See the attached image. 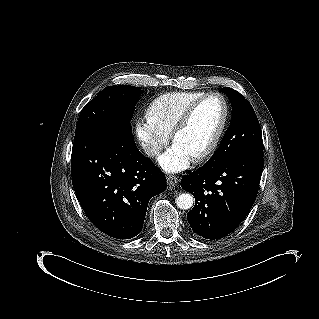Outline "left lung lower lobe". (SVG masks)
Wrapping results in <instances>:
<instances>
[{"mask_svg": "<svg viewBox=\"0 0 319 319\" xmlns=\"http://www.w3.org/2000/svg\"><path fill=\"white\" fill-rule=\"evenodd\" d=\"M263 165V151H255L225 162H207L183 176L181 187L195 197L187 214L193 232L215 240L235 230L256 199Z\"/></svg>", "mask_w": 319, "mask_h": 319, "instance_id": "obj_1", "label": "left lung lower lobe"}]
</instances>
